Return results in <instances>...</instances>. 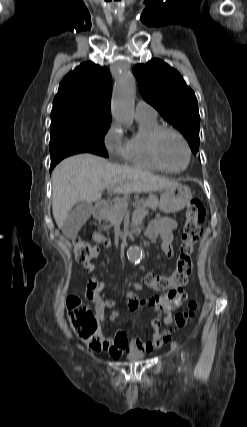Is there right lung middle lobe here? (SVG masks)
<instances>
[{
  "label": "right lung middle lobe",
  "mask_w": 247,
  "mask_h": 427,
  "mask_svg": "<svg viewBox=\"0 0 247 427\" xmlns=\"http://www.w3.org/2000/svg\"><path fill=\"white\" fill-rule=\"evenodd\" d=\"M111 118H95L75 111L51 114V156L72 149L108 157L104 135L109 129Z\"/></svg>",
  "instance_id": "right-lung-middle-lobe-1"
}]
</instances>
